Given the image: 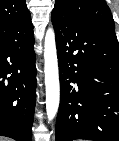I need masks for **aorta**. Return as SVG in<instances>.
<instances>
[{"mask_svg": "<svg viewBox=\"0 0 119 141\" xmlns=\"http://www.w3.org/2000/svg\"><path fill=\"white\" fill-rule=\"evenodd\" d=\"M44 72L46 86V113L48 120H52L59 107L60 85L58 73V60L55 43V33L49 28L44 41Z\"/></svg>", "mask_w": 119, "mask_h": 141, "instance_id": "obj_1", "label": "aorta"}]
</instances>
